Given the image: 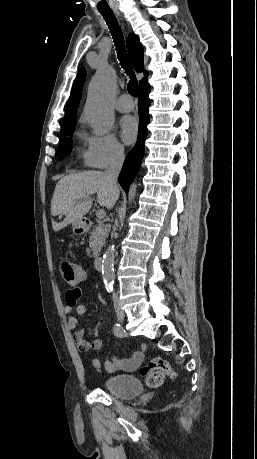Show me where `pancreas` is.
Wrapping results in <instances>:
<instances>
[{
  "label": "pancreas",
  "mask_w": 257,
  "mask_h": 459,
  "mask_svg": "<svg viewBox=\"0 0 257 459\" xmlns=\"http://www.w3.org/2000/svg\"><path fill=\"white\" fill-rule=\"evenodd\" d=\"M110 231L109 224L99 223L91 232L89 239V246L93 252V256L97 257L105 243L108 233Z\"/></svg>",
  "instance_id": "pancreas-1"
}]
</instances>
